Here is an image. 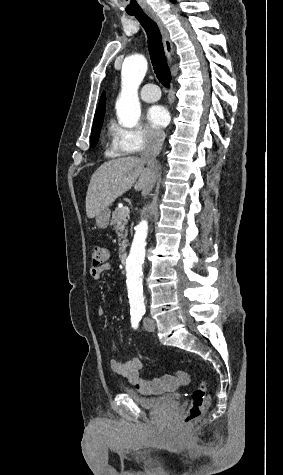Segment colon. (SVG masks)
<instances>
[{"label":"colon","instance_id":"5ec220e1","mask_svg":"<svg viewBox=\"0 0 283 475\" xmlns=\"http://www.w3.org/2000/svg\"><path fill=\"white\" fill-rule=\"evenodd\" d=\"M93 266L102 267L108 259V252L105 248L95 244L91 250ZM208 383L202 381L192 393L191 402L188 411L184 416L182 423H188L200 419L208 406L207 399Z\"/></svg>","mask_w":283,"mask_h":475}]
</instances>
